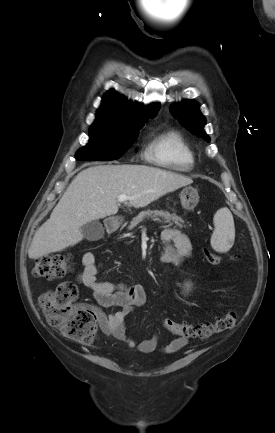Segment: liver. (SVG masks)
<instances>
[{"label": "liver", "mask_w": 275, "mask_h": 433, "mask_svg": "<svg viewBox=\"0 0 275 433\" xmlns=\"http://www.w3.org/2000/svg\"><path fill=\"white\" fill-rule=\"evenodd\" d=\"M193 183L191 178L146 165H99L81 171L36 231L28 256L38 259L60 252L83 239L81 227L115 215L118 196L128 205L145 207L161 196Z\"/></svg>", "instance_id": "liver-1"}]
</instances>
